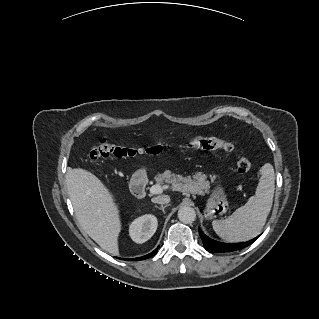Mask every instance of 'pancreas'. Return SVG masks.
Listing matches in <instances>:
<instances>
[{
  "label": "pancreas",
  "mask_w": 319,
  "mask_h": 319,
  "mask_svg": "<svg viewBox=\"0 0 319 319\" xmlns=\"http://www.w3.org/2000/svg\"><path fill=\"white\" fill-rule=\"evenodd\" d=\"M156 180L172 184L174 189H184L193 193L209 187V182L206 181V176L202 172L195 173L192 179L190 176L182 177L170 171H165L157 175Z\"/></svg>",
  "instance_id": "pancreas-1"
}]
</instances>
